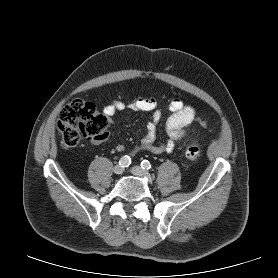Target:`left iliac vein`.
Segmentation results:
<instances>
[{
    "label": "left iliac vein",
    "instance_id": "obj_1",
    "mask_svg": "<svg viewBox=\"0 0 278 278\" xmlns=\"http://www.w3.org/2000/svg\"><path fill=\"white\" fill-rule=\"evenodd\" d=\"M131 172L135 176L139 177H146L149 181H151V176L148 172H146L144 169H142L139 166H134L131 168Z\"/></svg>",
    "mask_w": 278,
    "mask_h": 278
}]
</instances>
